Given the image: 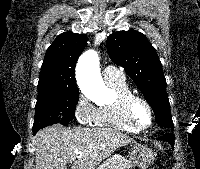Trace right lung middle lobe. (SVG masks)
Returning <instances> with one entry per match:
<instances>
[{"label": "right lung middle lobe", "instance_id": "right-lung-middle-lobe-1", "mask_svg": "<svg viewBox=\"0 0 200 169\" xmlns=\"http://www.w3.org/2000/svg\"><path fill=\"white\" fill-rule=\"evenodd\" d=\"M78 100L79 91L38 94L33 132L56 123L67 125L75 117Z\"/></svg>", "mask_w": 200, "mask_h": 169}]
</instances>
